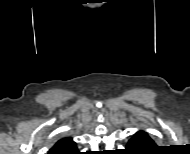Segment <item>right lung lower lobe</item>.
I'll return each mask as SVG.
<instances>
[{"label":"right lung lower lobe","mask_w":190,"mask_h":154,"mask_svg":"<svg viewBox=\"0 0 190 154\" xmlns=\"http://www.w3.org/2000/svg\"><path fill=\"white\" fill-rule=\"evenodd\" d=\"M78 150H73V151H67V152H63V154H78Z\"/></svg>","instance_id":"98d812e1"}]
</instances>
